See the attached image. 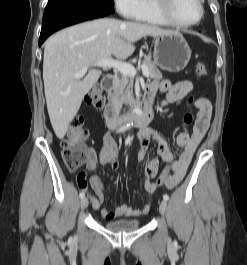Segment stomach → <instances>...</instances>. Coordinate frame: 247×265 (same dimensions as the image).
<instances>
[{"instance_id": "1", "label": "stomach", "mask_w": 247, "mask_h": 265, "mask_svg": "<svg viewBox=\"0 0 247 265\" xmlns=\"http://www.w3.org/2000/svg\"><path fill=\"white\" fill-rule=\"evenodd\" d=\"M191 49L182 34L157 36L154 41V64L168 72H180L188 64Z\"/></svg>"}]
</instances>
